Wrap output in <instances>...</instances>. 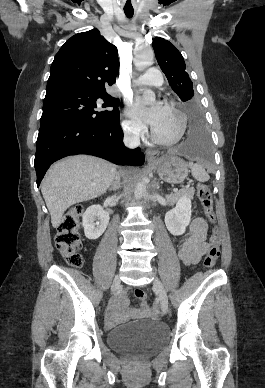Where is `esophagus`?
Here are the masks:
<instances>
[{"label":"esophagus","instance_id":"obj_1","mask_svg":"<svg viewBox=\"0 0 265 388\" xmlns=\"http://www.w3.org/2000/svg\"><path fill=\"white\" fill-rule=\"evenodd\" d=\"M160 155V151L156 149H147L146 158L148 162H153Z\"/></svg>","mask_w":265,"mask_h":388}]
</instances>
